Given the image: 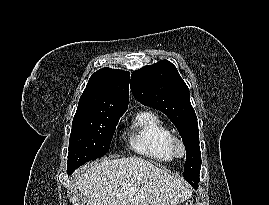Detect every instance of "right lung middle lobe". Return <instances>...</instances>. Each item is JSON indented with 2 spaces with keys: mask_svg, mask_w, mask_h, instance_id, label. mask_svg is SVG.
Returning <instances> with one entry per match:
<instances>
[{
  "mask_svg": "<svg viewBox=\"0 0 269 205\" xmlns=\"http://www.w3.org/2000/svg\"><path fill=\"white\" fill-rule=\"evenodd\" d=\"M121 116L75 114L69 140L68 174L106 154Z\"/></svg>",
  "mask_w": 269,
  "mask_h": 205,
  "instance_id": "obj_1",
  "label": "right lung middle lobe"
}]
</instances>
